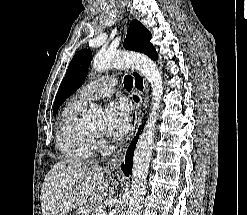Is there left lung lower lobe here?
Masks as SVG:
<instances>
[{
	"label": "left lung lower lobe",
	"instance_id": "0a47b994",
	"mask_svg": "<svg viewBox=\"0 0 247 215\" xmlns=\"http://www.w3.org/2000/svg\"><path fill=\"white\" fill-rule=\"evenodd\" d=\"M151 59L157 60L158 55L156 53V51L150 56Z\"/></svg>",
	"mask_w": 247,
	"mask_h": 215
}]
</instances>
